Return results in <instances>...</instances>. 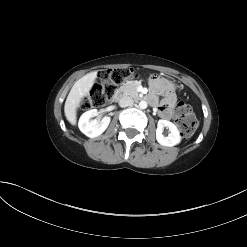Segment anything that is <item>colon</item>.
Listing matches in <instances>:
<instances>
[{"instance_id":"5ec220e1","label":"colon","mask_w":247,"mask_h":247,"mask_svg":"<svg viewBox=\"0 0 247 247\" xmlns=\"http://www.w3.org/2000/svg\"><path fill=\"white\" fill-rule=\"evenodd\" d=\"M134 76L135 71L132 68H114L100 72L99 83L94 85L89 95L83 98L82 106L105 107L115 98L117 86ZM174 119L184 137H190L198 125L191 107L183 101L177 104Z\"/></svg>"}]
</instances>
